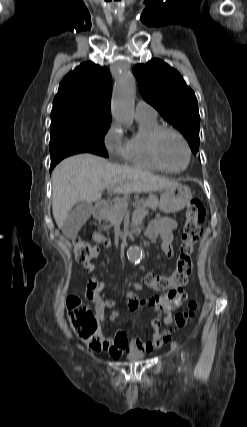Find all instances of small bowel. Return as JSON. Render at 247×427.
I'll return each instance as SVG.
<instances>
[{
  "instance_id": "obj_1",
  "label": "small bowel",
  "mask_w": 247,
  "mask_h": 427,
  "mask_svg": "<svg viewBox=\"0 0 247 427\" xmlns=\"http://www.w3.org/2000/svg\"><path fill=\"white\" fill-rule=\"evenodd\" d=\"M177 228L175 220L158 216L147 227L145 235L152 242L161 241V250L167 257H172L174 240V231ZM94 241L98 243L105 242V239L100 234H94ZM110 243V240H106ZM112 247V244H109ZM85 271L91 276L88 278L85 285V298L94 305L96 315L99 319H104L106 309L113 308L116 302L107 298L104 292L103 283L99 282L94 276L95 267L92 263L84 264ZM137 291L144 292L142 285L130 283ZM187 299V294L183 288H176L166 294L157 297L138 298L133 293H128L126 304L130 311L137 312L143 307H148L152 312L151 327L152 333L149 340L134 338L129 340L126 332L122 329H117L111 336L106 338L105 350L114 356H120L124 351H142L151 352L162 347L171 339V334L168 329L161 330V325H169L172 321V312L178 309ZM118 317V312L113 311L110 315V320H115Z\"/></svg>"
}]
</instances>
